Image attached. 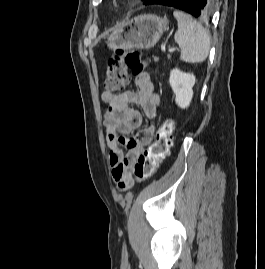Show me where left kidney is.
Instances as JSON below:
<instances>
[{
    "mask_svg": "<svg viewBox=\"0 0 265 269\" xmlns=\"http://www.w3.org/2000/svg\"><path fill=\"white\" fill-rule=\"evenodd\" d=\"M169 83L176 96V104L181 108H187L193 97L195 76L175 68L170 72Z\"/></svg>",
    "mask_w": 265,
    "mask_h": 269,
    "instance_id": "1",
    "label": "left kidney"
}]
</instances>
